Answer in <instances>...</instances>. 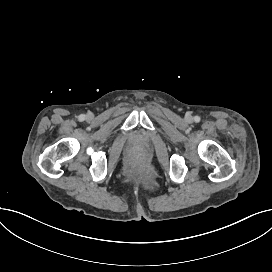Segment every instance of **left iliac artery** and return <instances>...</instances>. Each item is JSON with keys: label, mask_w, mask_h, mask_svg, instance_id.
I'll return each mask as SVG.
<instances>
[{"label": "left iliac artery", "mask_w": 272, "mask_h": 272, "mask_svg": "<svg viewBox=\"0 0 272 272\" xmlns=\"http://www.w3.org/2000/svg\"><path fill=\"white\" fill-rule=\"evenodd\" d=\"M194 120H195V122H199L200 121V117L199 116H195Z\"/></svg>", "instance_id": "left-iliac-artery-1"}]
</instances>
